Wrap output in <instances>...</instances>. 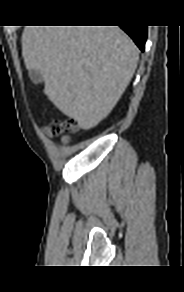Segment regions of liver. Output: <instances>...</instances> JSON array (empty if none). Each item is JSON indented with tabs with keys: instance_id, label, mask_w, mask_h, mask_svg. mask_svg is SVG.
<instances>
[{
	"instance_id": "6515ba94",
	"label": "liver",
	"mask_w": 184,
	"mask_h": 292,
	"mask_svg": "<svg viewBox=\"0 0 184 292\" xmlns=\"http://www.w3.org/2000/svg\"><path fill=\"white\" fill-rule=\"evenodd\" d=\"M21 42L25 66L42 74L49 100L85 130L111 112L139 59L118 26H26Z\"/></svg>"
}]
</instances>
